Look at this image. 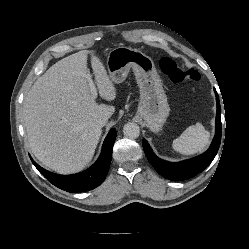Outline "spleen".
Returning <instances> with one entry per match:
<instances>
[{"label":"spleen","mask_w":249,"mask_h":249,"mask_svg":"<svg viewBox=\"0 0 249 249\" xmlns=\"http://www.w3.org/2000/svg\"><path fill=\"white\" fill-rule=\"evenodd\" d=\"M210 133L201 123L189 126L178 138L173 140L172 147L184 155L201 152L208 145Z\"/></svg>","instance_id":"3e777b00"}]
</instances>
